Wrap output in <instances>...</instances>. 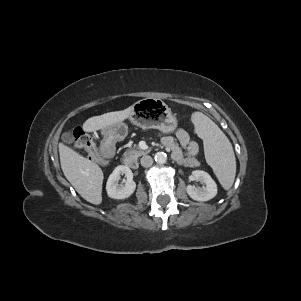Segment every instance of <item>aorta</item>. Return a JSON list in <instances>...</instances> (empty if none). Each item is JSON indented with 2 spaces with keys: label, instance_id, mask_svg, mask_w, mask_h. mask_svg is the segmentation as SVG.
<instances>
[{
  "label": "aorta",
  "instance_id": "762f6f07",
  "mask_svg": "<svg viewBox=\"0 0 301 301\" xmlns=\"http://www.w3.org/2000/svg\"><path fill=\"white\" fill-rule=\"evenodd\" d=\"M155 161L159 164H164L167 161V155L164 152H158L155 155Z\"/></svg>",
  "mask_w": 301,
  "mask_h": 301
}]
</instances>
